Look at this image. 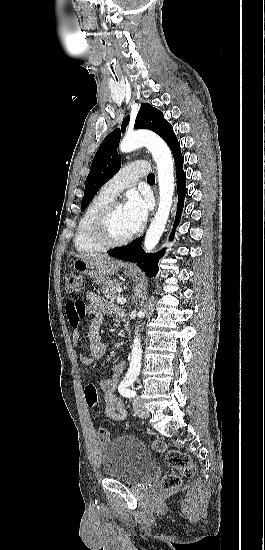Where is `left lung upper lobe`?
Listing matches in <instances>:
<instances>
[{"mask_svg": "<svg viewBox=\"0 0 265 550\" xmlns=\"http://www.w3.org/2000/svg\"><path fill=\"white\" fill-rule=\"evenodd\" d=\"M129 118L130 116L128 115L123 120L121 130L117 128L112 131L99 146L86 179L81 210L85 209L98 190L119 171L121 158L118 155L117 146L120 134L121 132H125ZM134 128H144L154 131L166 141L170 148L178 144L172 126L164 119L162 112L150 104L143 103L141 105Z\"/></svg>", "mask_w": 265, "mask_h": 550, "instance_id": "left-lung-upper-lobe-1", "label": "left lung upper lobe"}]
</instances>
